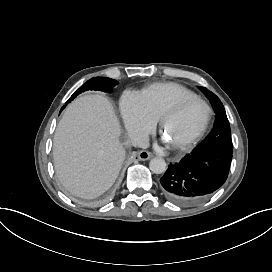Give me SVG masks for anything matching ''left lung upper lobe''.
<instances>
[{
  "label": "left lung upper lobe",
  "instance_id": "5c2ea615",
  "mask_svg": "<svg viewBox=\"0 0 272 272\" xmlns=\"http://www.w3.org/2000/svg\"><path fill=\"white\" fill-rule=\"evenodd\" d=\"M202 92L211 102L216 113L215 126L211 134L198 145L194 151L203 150H223L232 153V140L230 125L226 116L224 106L220 99L211 91L204 87H200Z\"/></svg>",
  "mask_w": 272,
  "mask_h": 272
}]
</instances>
